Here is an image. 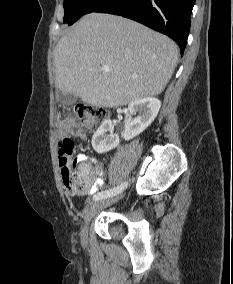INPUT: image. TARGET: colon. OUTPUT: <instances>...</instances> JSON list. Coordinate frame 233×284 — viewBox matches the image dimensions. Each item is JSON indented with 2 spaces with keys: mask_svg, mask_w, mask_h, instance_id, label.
Returning <instances> with one entry per match:
<instances>
[{
  "mask_svg": "<svg viewBox=\"0 0 233 284\" xmlns=\"http://www.w3.org/2000/svg\"><path fill=\"white\" fill-rule=\"evenodd\" d=\"M81 125L85 128H94L104 122L109 112L101 107L76 105L73 109ZM74 144L69 137L62 142L59 154V166L62 180L67 190L72 193H86L92 184L91 177L82 171L73 158Z\"/></svg>",
  "mask_w": 233,
  "mask_h": 284,
  "instance_id": "5ec220e1",
  "label": "colon"
}]
</instances>
